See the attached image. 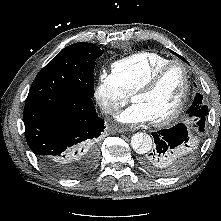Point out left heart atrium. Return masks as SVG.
Listing matches in <instances>:
<instances>
[{
    "label": "left heart atrium",
    "instance_id": "1",
    "mask_svg": "<svg viewBox=\"0 0 221 221\" xmlns=\"http://www.w3.org/2000/svg\"><path fill=\"white\" fill-rule=\"evenodd\" d=\"M117 120L124 124H142L151 121L147 110L138 103H134L116 116Z\"/></svg>",
    "mask_w": 221,
    "mask_h": 221
}]
</instances>
